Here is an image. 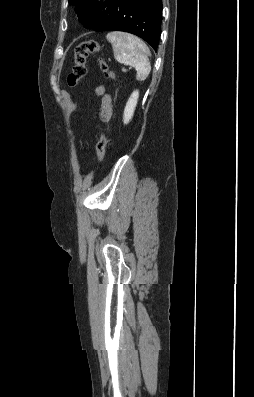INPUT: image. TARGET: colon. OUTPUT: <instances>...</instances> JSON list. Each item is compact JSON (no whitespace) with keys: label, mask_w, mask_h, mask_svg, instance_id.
I'll return each mask as SVG.
<instances>
[{"label":"colon","mask_w":254,"mask_h":397,"mask_svg":"<svg viewBox=\"0 0 254 397\" xmlns=\"http://www.w3.org/2000/svg\"><path fill=\"white\" fill-rule=\"evenodd\" d=\"M100 50V44L94 40L83 42L76 47L74 54V66L72 71L67 76V84L69 87H76L79 85L87 73V58L91 54H99ZM99 65L105 75L111 79L116 78L114 72L110 70L109 66L102 58L99 59ZM107 144L108 138L105 133H102L96 144V154L99 163H101L104 159Z\"/></svg>","instance_id":"obj_1"}]
</instances>
